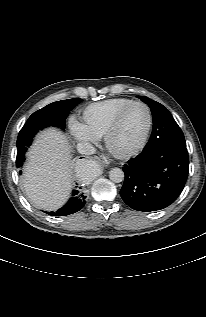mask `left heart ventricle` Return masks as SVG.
Segmentation results:
<instances>
[{"label": "left heart ventricle", "instance_id": "1", "mask_svg": "<svg viewBox=\"0 0 206 317\" xmlns=\"http://www.w3.org/2000/svg\"><path fill=\"white\" fill-rule=\"evenodd\" d=\"M147 126V113L143 106L135 105L124 115L118 129L112 137V145L120 151L137 146Z\"/></svg>", "mask_w": 206, "mask_h": 317}]
</instances>
